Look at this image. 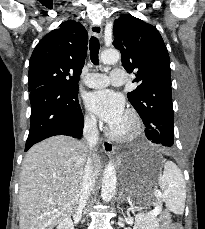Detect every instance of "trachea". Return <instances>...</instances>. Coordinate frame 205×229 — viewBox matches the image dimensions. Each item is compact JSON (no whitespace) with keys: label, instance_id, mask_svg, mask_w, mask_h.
Here are the masks:
<instances>
[{"label":"trachea","instance_id":"trachea-1","mask_svg":"<svg viewBox=\"0 0 205 229\" xmlns=\"http://www.w3.org/2000/svg\"><path fill=\"white\" fill-rule=\"evenodd\" d=\"M99 48H100L99 40L97 39V37L92 36L89 45L90 59L92 63L95 65L99 64V58H98Z\"/></svg>","mask_w":205,"mask_h":229}]
</instances>
